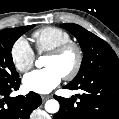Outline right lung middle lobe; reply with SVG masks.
Here are the masks:
<instances>
[{
  "label": "right lung middle lobe",
  "mask_w": 119,
  "mask_h": 119,
  "mask_svg": "<svg viewBox=\"0 0 119 119\" xmlns=\"http://www.w3.org/2000/svg\"><path fill=\"white\" fill-rule=\"evenodd\" d=\"M34 25L9 28L0 31V80L10 81L19 77L11 56L15 41Z\"/></svg>",
  "instance_id": "dd1d6c3e"
}]
</instances>
